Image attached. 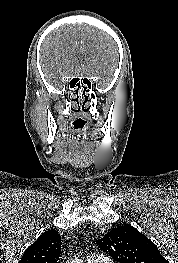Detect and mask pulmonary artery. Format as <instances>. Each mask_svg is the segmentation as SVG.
<instances>
[{
	"label": "pulmonary artery",
	"instance_id": "obj_1",
	"mask_svg": "<svg viewBox=\"0 0 178 263\" xmlns=\"http://www.w3.org/2000/svg\"><path fill=\"white\" fill-rule=\"evenodd\" d=\"M88 263H110V260L100 253H92L89 255Z\"/></svg>",
	"mask_w": 178,
	"mask_h": 263
}]
</instances>
